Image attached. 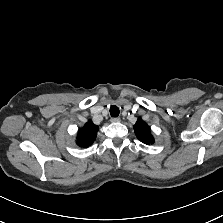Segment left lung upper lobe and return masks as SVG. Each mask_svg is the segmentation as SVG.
<instances>
[{"label":"left lung upper lobe","instance_id":"obj_1","mask_svg":"<svg viewBox=\"0 0 223 223\" xmlns=\"http://www.w3.org/2000/svg\"><path fill=\"white\" fill-rule=\"evenodd\" d=\"M134 131L141 142L145 144H153L154 139L151 135L150 127L141 118H139L134 125Z\"/></svg>","mask_w":223,"mask_h":223}]
</instances>
